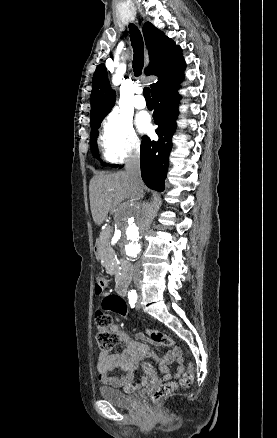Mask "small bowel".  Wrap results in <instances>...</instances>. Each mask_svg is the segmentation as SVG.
Here are the masks:
<instances>
[{"mask_svg": "<svg viewBox=\"0 0 277 438\" xmlns=\"http://www.w3.org/2000/svg\"><path fill=\"white\" fill-rule=\"evenodd\" d=\"M110 331L117 335L122 347L120 353H101L99 355L97 360V372L101 382L112 387L121 388L125 391L131 390L133 388L134 371L139 362L145 358H153L160 362L161 370L167 377H179L185 371L181 351L178 347H174L170 352L159 358L152 354L147 345L131 338L126 332L121 330L118 324H113L110 327ZM137 337L139 338L138 335ZM140 338H143V335H140ZM156 347L161 349L163 344L158 342ZM172 364H176V370L173 374L170 368ZM143 365V370L147 372L150 371L152 362L146 359ZM118 371H122L123 373L121 375H112V373Z\"/></svg>", "mask_w": 277, "mask_h": 438, "instance_id": "small-bowel-1", "label": "small bowel"}]
</instances>
